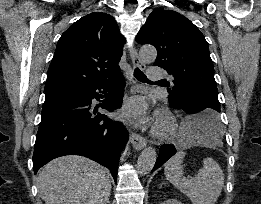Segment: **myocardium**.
Instances as JSON below:
<instances>
[{"mask_svg": "<svg viewBox=\"0 0 261 204\" xmlns=\"http://www.w3.org/2000/svg\"><path fill=\"white\" fill-rule=\"evenodd\" d=\"M177 130V121L175 117L166 109L158 112L155 124L152 128V134L158 139H169Z\"/></svg>", "mask_w": 261, "mask_h": 204, "instance_id": "1", "label": "myocardium"}]
</instances>
